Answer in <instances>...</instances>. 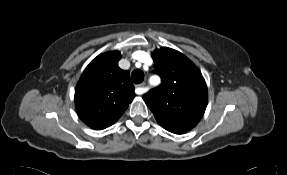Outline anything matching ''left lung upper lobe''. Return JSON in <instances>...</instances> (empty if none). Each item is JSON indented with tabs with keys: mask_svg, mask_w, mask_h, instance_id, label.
I'll list each match as a JSON object with an SVG mask.
<instances>
[{
	"mask_svg": "<svg viewBox=\"0 0 287 175\" xmlns=\"http://www.w3.org/2000/svg\"><path fill=\"white\" fill-rule=\"evenodd\" d=\"M152 58L154 73L163 83L144 94L143 99L164 129L186 133L197 125L207 107L205 80L193 62L174 49H157Z\"/></svg>",
	"mask_w": 287,
	"mask_h": 175,
	"instance_id": "1",
	"label": "left lung upper lobe"
}]
</instances>
